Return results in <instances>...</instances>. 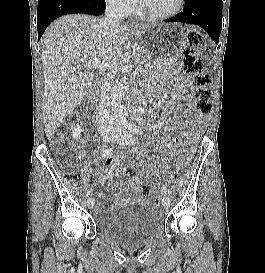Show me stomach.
Listing matches in <instances>:
<instances>
[{"instance_id": "obj_1", "label": "stomach", "mask_w": 265, "mask_h": 273, "mask_svg": "<svg viewBox=\"0 0 265 273\" xmlns=\"http://www.w3.org/2000/svg\"><path fill=\"white\" fill-rule=\"evenodd\" d=\"M185 30H194V25H154L135 29L131 33L139 44H131V49H145L137 55L140 64H174V51L163 49H177Z\"/></svg>"}]
</instances>
